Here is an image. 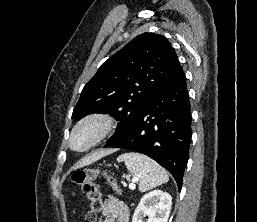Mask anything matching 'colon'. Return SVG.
Here are the masks:
<instances>
[{
	"label": "colon",
	"mask_w": 257,
	"mask_h": 222,
	"mask_svg": "<svg viewBox=\"0 0 257 222\" xmlns=\"http://www.w3.org/2000/svg\"><path fill=\"white\" fill-rule=\"evenodd\" d=\"M102 172L95 168L77 170L72 175V182L80 188L81 194L89 203V209L85 215V222H95L97 214L102 210V198L97 179ZM107 184L116 192H119L114 180L105 177Z\"/></svg>",
	"instance_id": "5ec220e1"
}]
</instances>
